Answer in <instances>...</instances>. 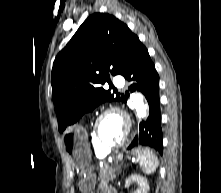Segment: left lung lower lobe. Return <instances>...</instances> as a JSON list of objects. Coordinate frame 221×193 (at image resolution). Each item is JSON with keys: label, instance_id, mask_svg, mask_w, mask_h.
Masks as SVG:
<instances>
[{"label": "left lung lower lobe", "instance_id": "0a47b994", "mask_svg": "<svg viewBox=\"0 0 221 193\" xmlns=\"http://www.w3.org/2000/svg\"><path fill=\"white\" fill-rule=\"evenodd\" d=\"M125 79L132 81V92L141 91L149 104V117L140 123L139 133L128 149L139 146L154 148L163 154V136L161 128L159 76L146 47L139 42L134 48L122 74ZM127 99L125 98V102Z\"/></svg>", "mask_w": 221, "mask_h": 193}]
</instances>
